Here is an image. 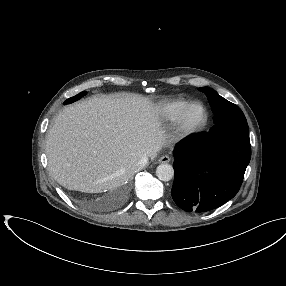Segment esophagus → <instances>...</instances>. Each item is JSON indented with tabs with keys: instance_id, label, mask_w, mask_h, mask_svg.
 Instances as JSON below:
<instances>
[{
	"instance_id": "34e87169",
	"label": "esophagus",
	"mask_w": 286,
	"mask_h": 286,
	"mask_svg": "<svg viewBox=\"0 0 286 286\" xmlns=\"http://www.w3.org/2000/svg\"><path fill=\"white\" fill-rule=\"evenodd\" d=\"M171 158L168 155H164L162 157H160V159L158 160L159 163H168L170 162Z\"/></svg>"
}]
</instances>
